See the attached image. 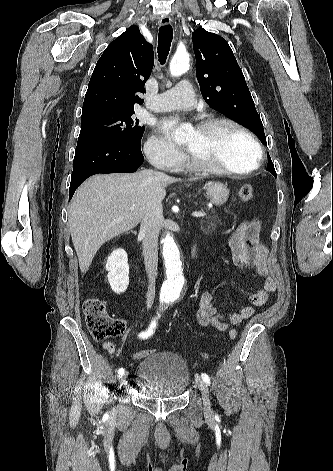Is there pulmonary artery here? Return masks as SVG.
Returning <instances> with one entry per match:
<instances>
[{"label":"pulmonary artery","instance_id":"1","mask_svg":"<svg viewBox=\"0 0 333 471\" xmlns=\"http://www.w3.org/2000/svg\"><path fill=\"white\" fill-rule=\"evenodd\" d=\"M194 92L190 82L181 81L172 89L157 95L147 107L156 112L182 110L192 107Z\"/></svg>","mask_w":333,"mask_h":471}]
</instances>
